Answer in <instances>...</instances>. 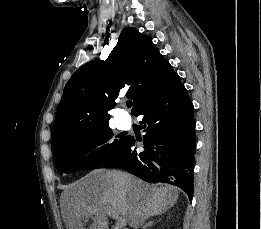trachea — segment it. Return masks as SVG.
Instances as JSON below:
<instances>
[{
	"label": "trachea",
	"mask_w": 261,
	"mask_h": 229,
	"mask_svg": "<svg viewBox=\"0 0 261 229\" xmlns=\"http://www.w3.org/2000/svg\"><path fill=\"white\" fill-rule=\"evenodd\" d=\"M126 105H127V107H132V101L131 100H127L126 101Z\"/></svg>",
	"instance_id": "trachea-1"
}]
</instances>
